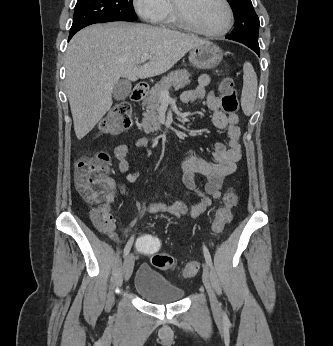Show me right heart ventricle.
<instances>
[{
    "label": "right heart ventricle",
    "instance_id": "1",
    "mask_svg": "<svg viewBox=\"0 0 333 346\" xmlns=\"http://www.w3.org/2000/svg\"><path fill=\"white\" fill-rule=\"evenodd\" d=\"M160 23L167 26H178L172 3H169V11Z\"/></svg>",
    "mask_w": 333,
    "mask_h": 346
}]
</instances>
